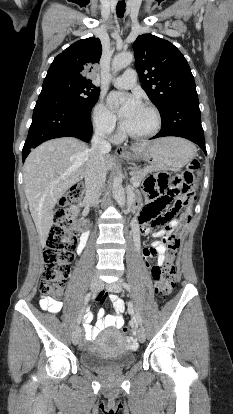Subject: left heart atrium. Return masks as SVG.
Returning <instances> with one entry per match:
<instances>
[{"mask_svg":"<svg viewBox=\"0 0 233 414\" xmlns=\"http://www.w3.org/2000/svg\"><path fill=\"white\" fill-rule=\"evenodd\" d=\"M107 101L110 108L118 113L123 123L141 108L140 101L136 97L123 92L110 93Z\"/></svg>","mask_w":233,"mask_h":414,"instance_id":"left-heart-atrium-1","label":"left heart atrium"}]
</instances>
